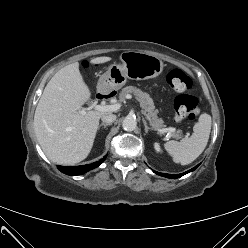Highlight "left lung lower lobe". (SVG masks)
Masks as SVG:
<instances>
[{"mask_svg": "<svg viewBox=\"0 0 248 248\" xmlns=\"http://www.w3.org/2000/svg\"><path fill=\"white\" fill-rule=\"evenodd\" d=\"M199 165L195 166L194 168H192L191 170L185 172V173H181V174H166V173H159L156 171H153L154 173H156L157 175L163 176V177H167V178H179L181 176H183L184 174H187L189 172L194 171Z\"/></svg>", "mask_w": 248, "mask_h": 248, "instance_id": "left-lung-lower-lobe-1", "label": "left lung lower lobe"}]
</instances>
